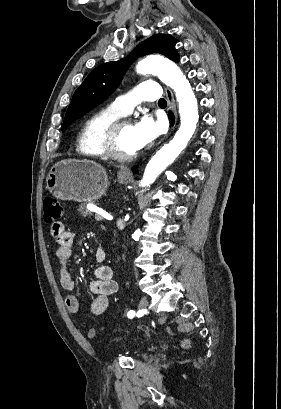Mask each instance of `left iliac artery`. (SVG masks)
Masks as SVG:
<instances>
[{"label": "left iliac artery", "mask_w": 281, "mask_h": 409, "mask_svg": "<svg viewBox=\"0 0 281 409\" xmlns=\"http://www.w3.org/2000/svg\"><path fill=\"white\" fill-rule=\"evenodd\" d=\"M134 316H135V312H134V311L131 310V311L128 312V317H129V318H133Z\"/></svg>", "instance_id": "44dca946"}]
</instances>
